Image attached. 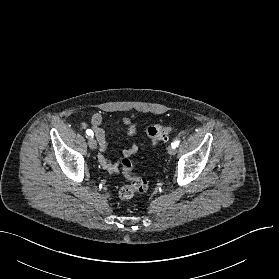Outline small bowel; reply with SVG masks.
Returning <instances> with one entry per match:
<instances>
[{
  "mask_svg": "<svg viewBox=\"0 0 279 279\" xmlns=\"http://www.w3.org/2000/svg\"><path fill=\"white\" fill-rule=\"evenodd\" d=\"M102 123H103V117L100 113H95L92 115L91 129L93 130V133L95 134V137L100 147L98 160L104 170H106L109 173H117L120 167L119 161H111L105 155V152L107 151L108 148V141H107L106 133L102 128ZM122 125L125 128V132L127 136L134 137L136 135L137 124L133 122L130 118L124 117L122 119ZM82 127H87V124L83 123ZM137 150H138L137 145L131 144L122 151V156L129 157L135 154Z\"/></svg>",
  "mask_w": 279,
  "mask_h": 279,
  "instance_id": "small-bowel-1",
  "label": "small bowel"
}]
</instances>
